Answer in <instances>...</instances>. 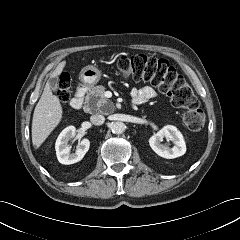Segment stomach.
Segmentation results:
<instances>
[{"label":"stomach","instance_id":"0dacf381","mask_svg":"<svg viewBox=\"0 0 240 240\" xmlns=\"http://www.w3.org/2000/svg\"><path fill=\"white\" fill-rule=\"evenodd\" d=\"M80 78L85 86L92 87L99 82L101 71L97 67L89 65L81 71Z\"/></svg>","mask_w":240,"mask_h":240}]
</instances>
